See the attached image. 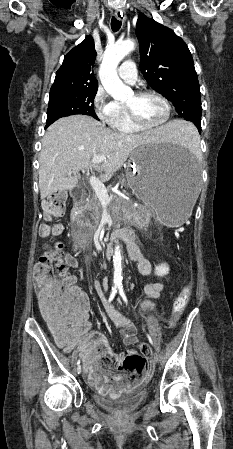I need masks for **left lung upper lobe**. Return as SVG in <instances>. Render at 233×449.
Returning <instances> with one entry per match:
<instances>
[{"label":"left lung upper lobe","instance_id":"obj_1","mask_svg":"<svg viewBox=\"0 0 233 449\" xmlns=\"http://www.w3.org/2000/svg\"><path fill=\"white\" fill-rule=\"evenodd\" d=\"M145 80L171 100L177 113L201 130V100L191 53L174 31L141 14L136 24Z\"/></svg>","mask_w":233,"mask_h":449}]
</instances>
